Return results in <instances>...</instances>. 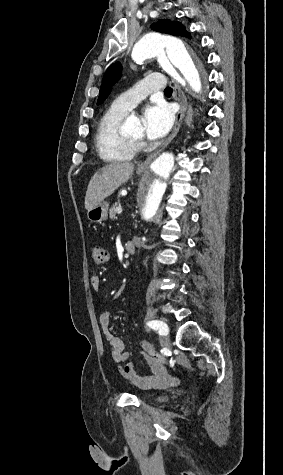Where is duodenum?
<instances>
[{"mask_svg": "<svg viewBox=\"0 0 283 475\" xmlns=\"http://www.w3.org/2000/svg\"><path fill=\"white\" fill-rule=\"evenodd\" d=\"M128 254H133L136 249V243L134 240H129L125 245Z\"/></svg>", "mask_w": 283, "mask_h": 475, "instance_id": "duodenum-1", "label": "duodenum"}]
</instances>
